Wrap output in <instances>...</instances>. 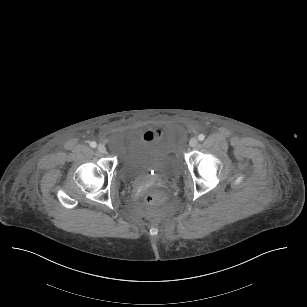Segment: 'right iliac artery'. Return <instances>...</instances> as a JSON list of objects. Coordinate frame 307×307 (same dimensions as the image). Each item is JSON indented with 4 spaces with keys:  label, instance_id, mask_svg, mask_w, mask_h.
<instances>
[{
    "label": "right iliac artery",
    "instance_id": "82829eb1",
    "mask_svg": "<svg viewBox=\"0 0 307 307\" xmlns=\"http://www.w3.org/2000/svg\"><path fill=\"white\" fill-rule=\"evenodd\" d=\"M90 146H91L92 148H95V147L97 146V143H96L95 141H92V142L90 143Z\"/></svg>",
    "mask_w": 307,
    "mask_h": 307
}]
</instances>
